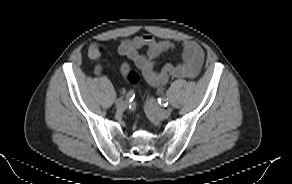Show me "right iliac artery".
I'll return each instance as SVG.
<instances>
[{
  "label": "right iliac artery",
  "instance_id": "82829eb1",
  "mask_svg": "<svg viewBox=\"0 0 292 184\" xmlns=\"http://www.w3.org/2000/svg\"><path fill=\"white\" fill-rule=\"evenodd\" d=\"M134 96H135L134 92H133L132 90H130V91L127 93V95H126V100H127V101H132L133 98H134Z\"/></svg>",
  "mask_w": 292,
  "mask_h": 184
}]
</instances>
